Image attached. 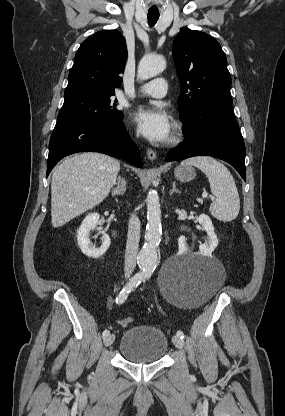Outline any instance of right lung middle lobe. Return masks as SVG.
Segmentation results:
<instances>
[{
    "instance_id": "obj_1",
    "label": "right lung middle lobe",
    "mask_w": 285,
    "mask_h": 416,
    "mask_svg": "<svg viewBox=\"0 0 285 416\" xmlns=\"http://www.w3.org/2000/svg\"><path fill=\"white\" fill-rule=\"evenodd\" d=\"M115 102L111 97L65 96L56 124L121 123L123 113L115 108Z\"/></svg>"
}]
</instances>
